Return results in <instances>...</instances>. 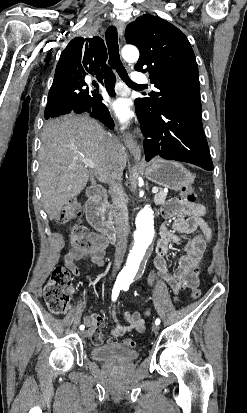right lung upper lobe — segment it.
I'll use <instances>...</instances> for the list:
<instances>
[{"label": "right lung upper lobe", "instance_id": "right-lung-upper-lobe-1", "mask_svg": "<svg viewBox=\"0 0 247 413\" xmlns=\"http://www.w3.org/2000/svg\"><path fill=\"white\" fill-rule=\"evenodd\" d=\"M106 61L107 51L101 38H74L60 56L53 82L72 81L88 74L99 79L114 75Z\"/></svg>", "mask_w": 247, "mask_h": 413}]
</instances>
